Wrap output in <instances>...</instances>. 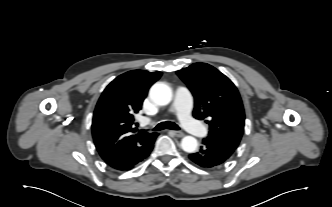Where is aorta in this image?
Wrapping results in <instances>:
<instances>
[{"instance_id": "762f6f07", "label": "aorta", "mask_w": 332, "mask_h": 207, "mask_svg": "<svg viewBox=\"0 0 332 207\" xmlns=\"http://www.w3.org/2000/svg\"><path fill=\"white\" fill-rule=\"evenodd\" d=\"M149 96L151 100L157 105H167L172 100V90L167 84L163 82H157L151 87ZM197 147L198 142L192 136H185L181 140V148L187 153L195 152Z\"/></svg>"}]
</instances>
